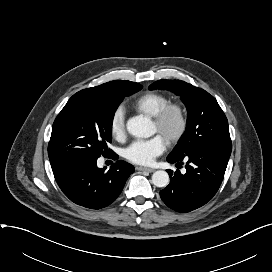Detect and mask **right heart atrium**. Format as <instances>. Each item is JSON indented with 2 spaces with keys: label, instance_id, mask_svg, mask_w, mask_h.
Instances as JSON below:
<instances>
[{
  "label": "right heart atrium",
  "instance_id": "d8ad5b80",
  "mask_svg": "<svg viewBox=\"0 0 272 272\" xmlns=\"http://www.w3.org/2000/svg\"><path fill=\"white\" fill-rule=\"evenodd\" d=\"M109 129L111 135L117 139L122 140L125 136V110L122 107L116 108L113 112Z\"/></svg>",
  "mask_w": 272,
  "mask_h": 272
}]
</instances>
